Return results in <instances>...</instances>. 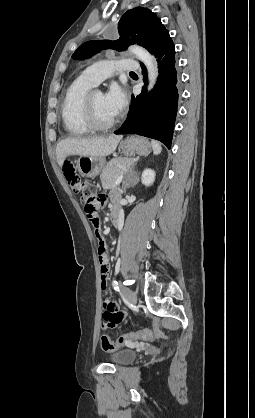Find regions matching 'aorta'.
<instances>
[{
	"label": "aorta",
	"mask_w": 255,
	"mask_h": 418,
	"mask_svg": "<svg viewBox=\"0 0 255 418\" xmlns=\"http://www.w3.org/2000/svg\"><path fill=\"white\" fill-rule=\"evenodd\" d=\"M130 51L145 64L148 70V90H151L155 85L158 76L156 59L148 51L139 46H131Z\"/></svg>",
	"instance_id": "aorta-1"
}]
</instances>
